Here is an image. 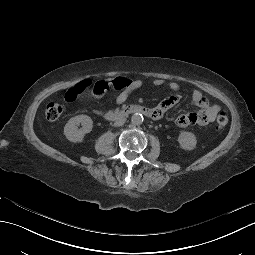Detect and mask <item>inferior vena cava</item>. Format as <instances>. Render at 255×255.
Returning <instances> with one entry per match:
<instances>
[{
  "instance_id": "1",
  "label": "inferior vena cava",
  "mask_w": 255,
  "mask_h": 255,
  "mask_svg": "<svg viewBox=\"0 0 255 255\" xmlns=\"http://www.w3.org/2000/svg\"><path fill=\"white\" fill-rule=\"evenodd\" d=\"M125 121H126V118H124V117H118V118H116L115 121H114V126H115V127L122 126V125L125 123Z\"/></svg>"
}]
</instances>
